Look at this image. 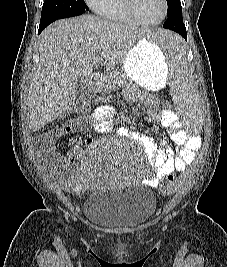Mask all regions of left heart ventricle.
<instances>
[{
	"label": "left heart ventricle",
	"mask_w": 227,
	"mask_h": 267,
	"mask_svg": "<svg viewBox=\"0 0 227 267\" xmlns=\"http://www.w3.org/2000/svg\"><path fill=\"white\" fill-rule=\"evenodd\" d=\"M139 16L145 21H157L163 13L162 0H135Z\"/></svg>",
	"instance_id": "left-heart-ventricle-1"
}]
</instances>
